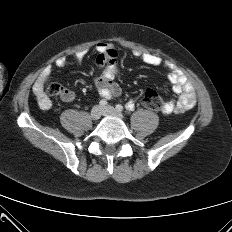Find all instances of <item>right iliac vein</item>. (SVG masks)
Segmentation results:
<instances>
[{
  "mask_svg": "<svg viewBox=\"0 0 232 232\" xmlns=\"http://www.w3.org/2000/svg\"><path fill=\"white\" fill-rule=\"evenodd\" d=\"M102 112L103 110L101 106L99 105L94 106L91 110V118L93 120H98L101 117Z\"/></svg>",
  "mask_w": 232,
  "mask_h": 232,
  "instance_id": "1",
  "label": "right iliac vein"
}]
</instances>
